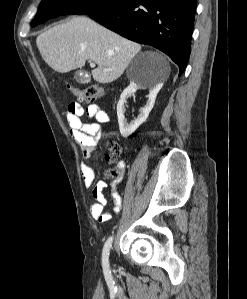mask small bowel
<instances>
[{
    "label": "small bowel",
    "mask_w": 247,
    "mask_h": 299,
    "mask_svg": "<svg viewBox=\"0 0 247 299\" xmlns=\"http://www.w3.org/2000/svg\"><path fill=\"white\" fill-rule=\"evenodd\" d=\"M84 116L94 119V122H84ZM66 120L70 135L81 147L84 159H90L103 137L101 125L110 121L109 114L98 104H90L87 107H83L78 102H71L67 107ZM81 174L85 187L90 188L93 186L92 196L94 202L90 206L91 216L100 223L108 222L112 216L109 212L104 211L107 203L104 190L107 188V183L98 181L94 184L95 171L86 162H83L81 165ZM117 183L118 181L114 180L110 184L115 213H119L122 208V197L117 191Z\"/></svg>",
    "instance_id": "1"
}]
</instances>
